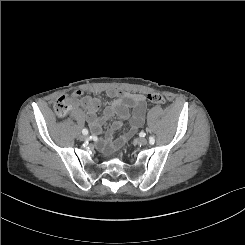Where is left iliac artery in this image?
I'll use <instances>...</instances> for the list:
<instances>
[{
    "mask_svg": "<svg viewBox=\"0 0 245 245\" xmlns=\"http://www.w3.org/2000/svg\"><path fill=\"white\" fill-rule=\"evenodd\" d=\"M149 143H150L151 145H153V144L155 143V139H154L153 136H150V137H149Z\"/></svg>",
    "mask_w": 245,
    "mask_h": 245,
    "instance_id": "44dca946",
    "label": "left iliac artery"
}]
</instances>
